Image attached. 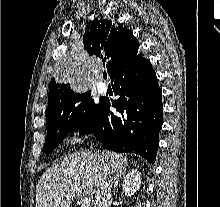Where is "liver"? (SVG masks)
I'll return each instance as SVG.
<instances>
[{"mask_svg":"<svg viewBox=\"0 0 220 207\" xmlns=\"http://www.w3.org/2000/svg\"><path fill=\"white\" fill-rule=\"evenodd\" d=\"M122 154L81 151L66 156L41 176L36 193V207H70L75 196H93L104 169L111 174L127 166Z\"/></svg>","mask_w":220,"mask_h":207,"instance_id":"liver-1","label":"liver"}]
</instances>
